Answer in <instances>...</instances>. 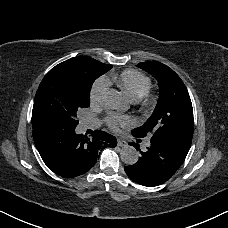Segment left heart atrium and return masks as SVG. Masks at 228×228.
<instances>
[{
    "mask_svg": "<svg viewBox=\"0 0 228 228\" xmlns=\"http://www.w3.org/2000/svg\"><path fill=\"white\" fill-rule=\"evenodd\" d=\"M107 122L110 129L114 132H118L121 128H126L129 126V120L118 114H111L107 117Z\"/></svg>",
    "mask_w": 228,
    "mask_h": 228,
    "instance_id": "left-heart-atrium-1",
    "label": "left heart atrium"
}]
</instances>
